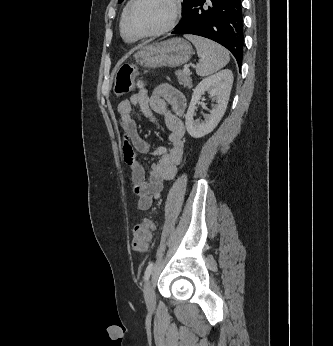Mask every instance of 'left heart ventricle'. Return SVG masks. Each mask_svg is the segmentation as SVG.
Masks as SVG:
<instances>
[{
	"label": "left heart ventricle",
	"mask_w": 333,
	"mask_h": 346,
	"mask_svg": "<svg viewBox=\"0 0 333 346\" xmlns=\"http://www.w3.org/2000/svg\"><path fill=\"white\" fill-rule=\"evenodd\" d=\"M173 8L170 0H139L127 21L132 33H150L165 27L171 20Z\"/></svg>",
	"instance_id": "1"
}]
</instances>
